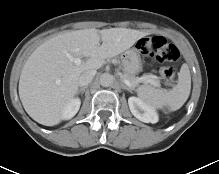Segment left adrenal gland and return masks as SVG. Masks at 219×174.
I'll use <instances>...</instances> for the list:
<instances>
[{"instance_id":"obj_1","label":"left adrenal gland","mask_w":219,"mask_h":174,"mask_svg":"<svg viewBox=\"0 0 219 174\" xmlns=\"http://www.w3.org/2000/svg\"><path fill=\"white\" fill-rule=\"evenodd\" d=\"M122 88L132 93V89L127 87L124 83H122Z\"/></svg>"}]
</instances>
